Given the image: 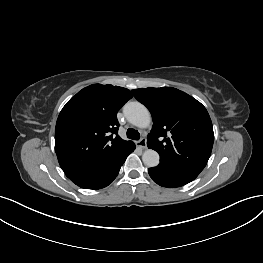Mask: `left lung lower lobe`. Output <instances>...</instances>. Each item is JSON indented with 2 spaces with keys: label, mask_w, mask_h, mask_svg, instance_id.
<instances>
[{
  "label": "left lung lower lobe",
  "mask_w": 263,
  "mask_h": 263,
  "mask_svg": "<svg viewBox=\"0 0 263 263\" xmlns=\"http://www.w3.org/2000/svg\"><path fill=\"white\" fill-rule=\"evenodd\" d=\"M154 182L163 187H180L193 181L198 174L174 169L163 164L148 169Z\"/></svg>",
  "instance_id": "left-lung-lower-lobe-1"
}]
</instances>
